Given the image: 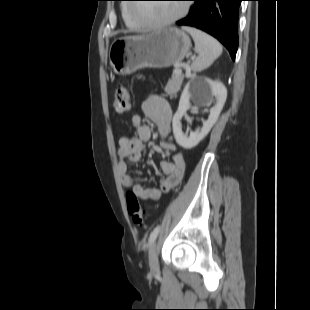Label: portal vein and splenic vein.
I'll return each mask as SVG.
<instances>
[{
  "label": "portal vein and splenic vein",
  "instance_id": "18ae733b",
  "mask_svg": "<svg viewBox=\"0 0 310 310\" xmlns=\"http://www.w3.org/2000/svg\"><path fill=\"white\" fill-rule=\"evenodd\" d=\"M176 73H177V74H182V70H181V69H177V70H176ZM188 76H189V75H188Z\"/></svg>",
  "mask_w": 310,
  "mask_h": 310
}]
</instances>
